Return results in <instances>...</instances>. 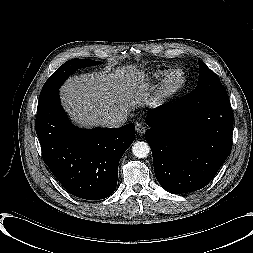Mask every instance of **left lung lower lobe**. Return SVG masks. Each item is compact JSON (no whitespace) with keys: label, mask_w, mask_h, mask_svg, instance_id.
I'll use <instances>...</instances> for the list:
<instances>
[{"label":"left lung lower lobe","mask_w":253,"mask_h":253,"mask_svg":"<svg viewBox=\"0 0 253 253\" xmlns=\"http://www.w3.org/2000/svg\"><path fill=\"white\" fill-rule=\"evenodd\" d=\"M145 139L161 186L181 194L205 187L230 155L233 113L226 89L206 100L192 93L153 109Z\"/></svg>","instance_id":"0a47b994"}]
</instances>
